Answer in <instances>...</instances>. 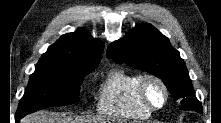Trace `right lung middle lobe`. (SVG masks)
Here are the masks:
<instances>
[{
  "label": "right lung middle lobe",
  "instance_id": "right-lung-middle-lobe-1",
  "mask_svg": "<svg viewBox=\"0 0 221 123\" xmlns=\"http://www.w3.org/2000/svg\"><path fill=\"white\" fill-rule=\"evenodd\" d=\"M98 63L82 66L70 62H38L17 113L27 115L46 107L75 103L85 75Z\"/></svg>",
  "mask_w": 221,
  "mask_h": 123
}]
</instances>
